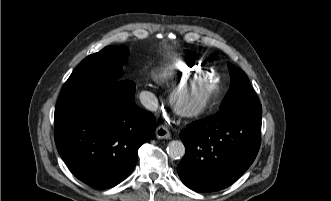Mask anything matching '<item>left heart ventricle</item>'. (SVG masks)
<instances>
[{
    "instance_id": "1",
    "label": "left heart ventricle",
    "mask_w": 331,
    "mask_h": 201,
    "mask_svg": "<svg viewBox=\"0 0 331 201\" xmlns=\"http://www.w3.org/2000/svg\"><path fill=\"white\" fill-rule=\"evenodd\" d=\"M204 91L203 86H186L177 92L176 99L182 105H190L201 98Z\"/></svg>"
}]
</instances>
